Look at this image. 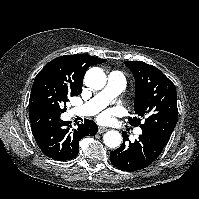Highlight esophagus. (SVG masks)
Listing matches in <instances>:
<instances>
[{
  "mask_svg": "<svg viewBox=\"0 0 199 199\" xmlns=\"http://www.w3.org/2000/svg\"><path fill=\"white\" fill-rule=\"evenodd\" d=\"M108 130V128H106V127H99L98 128V133H103V132H105V131H107Z\"/></svg>",
  "mask_w": 199,
  "mask_h": 199,
  "instance_id": "obj_1",
  "label": "esophagus"
}]
</instances>
